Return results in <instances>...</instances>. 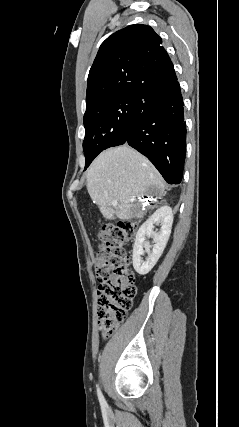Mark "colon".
Returning <instances> with one entry per match:
<instances>
[{
	"label": "colon",
	"instance_id": "1",
	"mask_svg": "<svg viewBox=\"0 0 239 427\" xmlns=\"http://www.w3.org/2000/svg\"><path fill=\"white\" fill-rule=\"evenodd\" d=\"M135 230V223L119 222L107 224L99 232L95 274L99 282L98 325L104 337L112 335L125 320L136 296L135 277L126 249Z\"/></svg>",
	"mask_w": 239,
	"mask_h": 427
}]
</instances>
